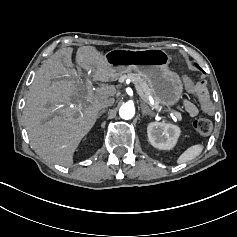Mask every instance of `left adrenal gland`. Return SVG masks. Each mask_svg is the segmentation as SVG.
<instances>
[{"label":"left adrenal gland","mask_w":237,"mask_h":237,"mask_svg":"<svg viewBox=\"0 0 237 237\" xmlns=\"http://www.w3.org/2000/svg\"><path fill=\"white\" fill-rule=\"evenodd\" d=\"M141 112H142V118H144L146 115L153 116L148 106L144 102L141 103Z\"/></svg>","instance_id":"1"}]
</instances>
